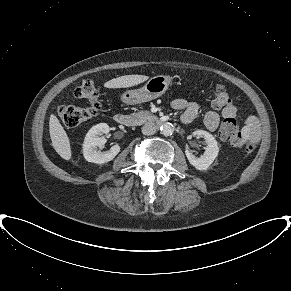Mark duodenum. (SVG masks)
Wrapping results in <instances>:
<instances>
[{"mask_svg": "<svg viewBox=\"0 0 291 291\" xmlns=\"http://www.w3.org/2000/svg\"><path fill=\"white\" fill-rule=\"evenodd\" d=\"M114 120L116 123L123 125V126H129L132 123V120L130 118V116L126 115V114H122V113H118L114 116ZM164 121L161 119H157L155 120V123L157 125L162 124Z\"/></svg>", "mask_w": 291, "mask_h": 291, "instance_id": "1", "label": "duodenum"}]
</instances>
